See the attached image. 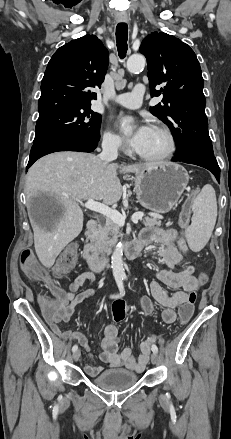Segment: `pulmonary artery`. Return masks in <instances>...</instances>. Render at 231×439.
<instances>
[{"instance_id": "e3ab8cb5", "label": "pulmonary artery", "mask_w": 231, "mask_h": 439, "mask_svg": "<svg viewBox=\"0 0 231 439\" xmlns=\"http://www.w3.org/2000/svg\"><path fill=\"white\" fill-rule=\"evenodd\" d=\"M145 93V86L142 84L136 85L131 92L122 93L114 98V101L126 108L136 109L142 104V99Z\"/></svg>"}]
</instances>
